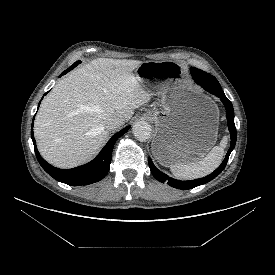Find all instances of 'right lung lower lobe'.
<instances>
[{
    "mask_svg": "<svg viewBox=\"0 0 275 275\" xmlns=\"http://www.w3.org/2000/svg\"><path fill=\"white\" fill-rule=\"evenodd\" d=\"M75 65H72L70 68L65 70L61 75L66 74L68 71L72 70ZM34 120V119H33ZM130 126L125 127L115 135L111 137V139L107 142L98 156L92 160L90 163L85 165L73 168V169H59L53 167L49 163H47L39 154L36 142L33 135V122L31 127V137L34 144L35 153L38 159V162L42 166V168L54 179L68 184L72 186L79 185H88L103 179L109 171L111 156L113 151V146L116 140L121 137L124 133L129 130Z\"/></svg>",
    "mask_w": 275,
    "mask_h": 275,
    "instance_id": "1",
    "label": "right lung lower lobe"
}]
</instances>
